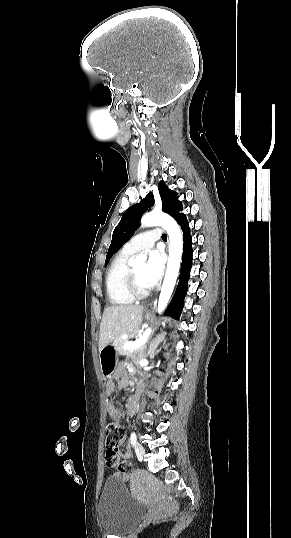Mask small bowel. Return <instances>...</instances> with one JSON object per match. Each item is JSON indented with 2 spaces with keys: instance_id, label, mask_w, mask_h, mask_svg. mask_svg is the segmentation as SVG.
<instances>
[{
  "instance_id": "1",
  "label": "small bowel",
  "mask_w": 291,
  "mask_h": 538,
  "mask_svg": "<svg viewBox=\"0 0 291 538\" xmlns=\"http://www.w3.org/2000/svg\"><path fill=\"white\" fill-rule=\"evenodd\" d=\"M114 378L118 381V386L120 388H124L126 385H127V380L125 378H122L121 377V373L119 371H117L115 373V376ZM115 391V384L112 380H108L107 383H106V394L109 396V395H112ZM136 400H137V397L134 396L131 398L130 402H129V405H128V411L129 413H132L133 410L135 409V406H136ZM107 411H108V414L111 418H115V419H118L119 416H120V411L118 408H116V406L113 404V403H108L107 405ZM123 442V440L120 442V444ZM119 444V445H120ZM118 457H121V458H124V459H127L130 457V452L129 451H125V452H118ZM113 468V467H112Z\"/></svg>"
}]
</instances>
